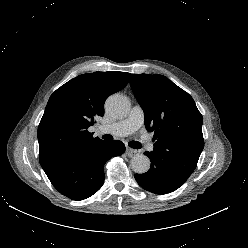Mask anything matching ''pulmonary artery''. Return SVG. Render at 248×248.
I'll return each instance as SVG.
<instances>
[{"label": "pulmonary artery", "mask_w": 248, "mask_h": 248, "mask_svg": "<svg viewBox=\"0 0 248 248\" xmlns=\"http://www.w3.org/2000/svg\"><path fill=\"white\" fill-rule=\"evenodd\" d=\"M144 123V111L139 105H135L129 115L118 122L108 125H100L97 130L100 133H110L116 136H127L137 131ZM149 148H152L151 146Z\"/></svg>", "instance_id": "pulmonary-artery-1"}]
</instances>
